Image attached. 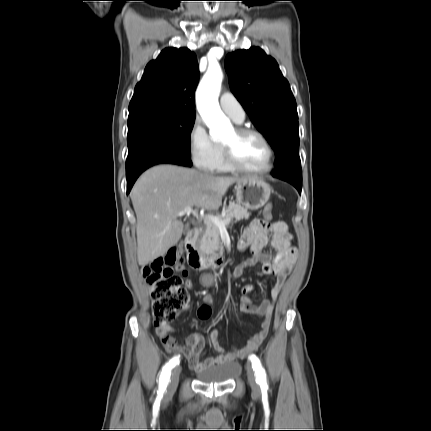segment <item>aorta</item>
<instances>
[{"label": "aorta", "instance_id": "1", "mask_svg": "<svg viewBox=\"0 0 431 431\" xmlns=\"http://www.w3.org/2000/svg\"><path fill=\"white\" fill-rule=\"evenodd\" d=\"M223 74L219 66L209 67L196 91L197 108L213 139L222 138L231 129L230 121L219 107L218 96Z\"/></svg>", "mask_w": 431, "mask_h": 431}]
</instances>
